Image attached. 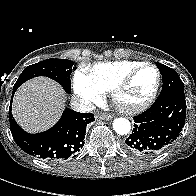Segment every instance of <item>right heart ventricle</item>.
I'll return each instance as SVG.
<instances>
[{"label": "right heart ventricle", "mask_w": 196, "mask_h": 196, "mask_svg": "<svg viewBox=\"0 0 196 196\" xmlns=\"http://www.w3.org/2000/svg\"><path fill=\"white\" fill-rule=\"evenodd\" d=\"M142 63L141 61H110L97 63L89 69L88 74L103 92H110L126 73Z\"/></svg>", "instance_id": "e07e8e85"}]
</instances>
